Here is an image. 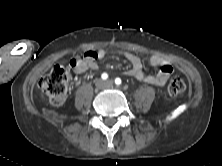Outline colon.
<instances>
[{"instance_id": "1", "label": "colon", "mask_w": 222, "mask_h": 166, "mask_svg": "<svg viewBox=\"0 0 222 166\" xmlns=\"http://www.w3.org/2000/svg\"><path fill=\"white\" fill-rule=\"evenodd\" d=\"M68 81V69L64 66H55L48 75L40 79L38 85L52 105L60 106L67 99ZM185 89L186 84L181 78L174 77L170 80L168 91L171 95H181Z\"/></svg>"}]
</instances>
